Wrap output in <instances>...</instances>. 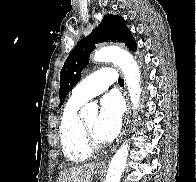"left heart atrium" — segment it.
Returning a JSON list of instances; mask_svg holds the SVG:
<instances>
[{
	"mask_svg": "<svg viewBox=\"0 0 196 182\" xmlns=\"http://www.w3.org/2000/svg\"><path fill=\"white\" fill-rule=\"evenodd\" d=\"M123 103L116 94H108L101 100V110L95 127L100 141H112L120 131L123 116Z\"/></svg>",
	"mask_w": 196,
	"mask_h": 182,
	"instance_id": "obj_1",
	"label": "left heart atrium"
}]
</instances>
